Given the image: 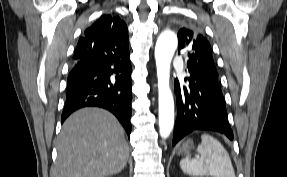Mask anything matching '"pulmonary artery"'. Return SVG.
<instances>
[{
  "instance_id": "obj_1",
  "label": "pulmonary artery",
  "mask_w": 287,
  "mask_h": 177,
  "mask_svg": "<svg viewBox=\"0 0 287 177\" xmlns=\"http://www.w3.org/2000/svg\"><path fill=\"white\" fill-rule=\"evenodd\" d=\"M183 63V59L181 56H176L173 59V65L174 66H180Z\"/></svg>"
}]
</instances>
